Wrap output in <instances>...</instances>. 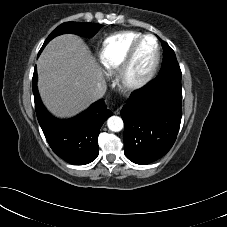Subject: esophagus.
I'll use <instances>...</instances> for the list:
<instances>
[{"label":"esophagus","mask_w":227,"mask_h":227,"mask_svg":"<svg viewBox=\"0 0 227 227\" xmlns=\"http://www.w3.org/2000/svg\"><path fill=\"white\" fill-rule=\"evenodd\" d=\"M119 113H120V109L119 108L114 111V114H119Z\"/></svg>","instance_id":"obj_1"}]
</instances>
